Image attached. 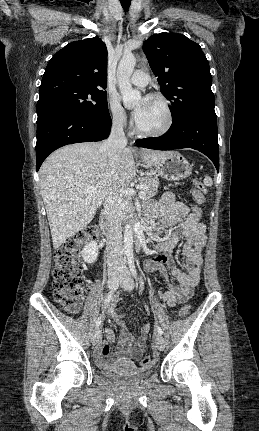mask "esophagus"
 Here are the masks:
<instances>
[{
  "label": "esophagus",
  "mask_w": 259,
  "mask_h": 431,
  "mask_svg": "<svg viewBox=\"0 0 259 431\" xmlns=\"http://www.w3.org/2000/svg\"><path fill=\"white\" fill-rule=\"evenodd\" d=\"M133 151H136V147L135 146L133 147Z\"/></svg>",
  "instance_id": "1"
}]
</instances>
